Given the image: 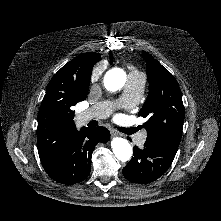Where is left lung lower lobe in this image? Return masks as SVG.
Segmentation results:
<instances>
[{"label":"left lung lower lobe","instance_id":"left-lung-lower-lobe-1","mask_svg":"<svg viewBox=\"0 0 221 221\" xmlns=\"http://www.w3.org/2000/svg\"><path fill=\"white\" fill-rule=\"evenodd\" d=\"M179 144L145 142L144 148L133 147V157L123 168L124 177L135 183H150L162 176L173 162Z\"/></svg>","mask_w":221,"mask_h":221}]
</instances>
